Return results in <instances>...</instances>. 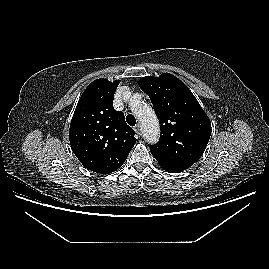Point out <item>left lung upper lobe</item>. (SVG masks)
Masks as SVG:
<instances>
[{
    "mask_svg": "<svg viewBox=\"0 0 269 269\" xmlns=\"http://www.w3.org/2000/svg\"><path fill=\"white\" fill-rule=\"evenodd\" d=\"M160 122L161 135L150 152L159 165L183 171L198 161L211 135V122L192 92L174 75L139 80Z\"/></svg>",
    "mask_w": 269,
    "mask_h": 269,
    "instance_id": "left-lung-upper-lobe-1",
    "label": "left lung upper lobe"
}]
</instances>
